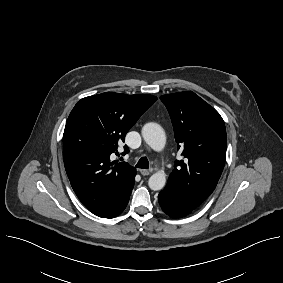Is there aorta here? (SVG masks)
I'll return each instance as SVG.
<instances>
[{"label": "aorta", "instance_id": "aorta-1", "mask_svg": "<svg viewBox=\"0 0 283 283\" xmlns=\"http://www.w3.org/2000/svg\"><path fill=\"white\" fill-rule=\"evenodd\" d=\"M142 136L145 142L155 151H162L166 144V136L163 128L157 123H147L142 128ZM166 183L164 171H158L151 175L148 185L151 190H161Z\"/></svg>", "mask_w": 283, "mask_h": 283}]
</instances>
